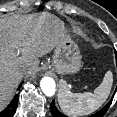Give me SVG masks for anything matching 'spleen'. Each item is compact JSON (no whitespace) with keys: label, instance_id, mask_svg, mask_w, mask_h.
Returning <instances> with one entry per match:
<instances>
[{"label":"spleen","instance_id":"obj_1","mask_svg":"<svg viewBox=\"0 0 117 117\" xmlns=\"http://www.w3.org/2000/svg\"><path fill=\"white\" fill-rule=\"evenodd\" d=\"M113 84V74L107 71L102 83L92 92L72 93L64 80L60 81L58 102L61 110L68 116L90 115L107 100Z\"/></svg>","mask_w":117,"mask_h":117}]
</instances>
